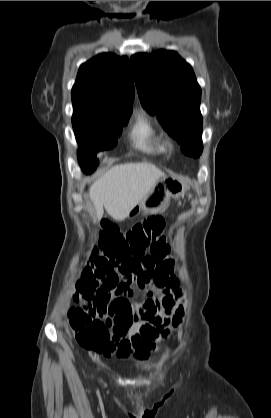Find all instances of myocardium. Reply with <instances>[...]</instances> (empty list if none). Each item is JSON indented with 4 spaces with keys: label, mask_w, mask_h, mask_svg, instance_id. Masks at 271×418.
<instances>
[{
    "label": "myocardium",
    "mask_w": 271,
    "mask_h": 418,
    "mask_svg": "<svg viewBox=\"0 0 271 418\" xmlns=\"http://www.w3.org/2000/svg\"><path fill=\"white\" fill-rule=\"evenodd\" d=\"M166 145H167V147H168L170 150H172V149H173V147H174V142H173V140H172V139H168V140L166 141Z\"/></svg>",
    "instance_id": "myocardium-1"
}]
</instances>
